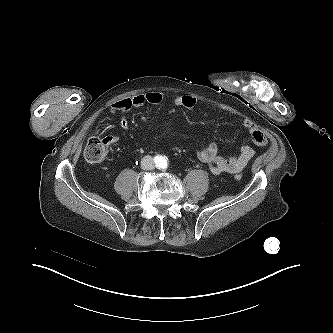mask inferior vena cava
<instances>
[{"label": "inferior vena cava", "mask_w": 333, "mask_h": 333, "mask_svg": "<svg viewBox=\"0 0 333 333\" xmlns=\"http://www.w3.org/2000/svg\"><path fill=\"white\" fill-rule=\"evenodd\" d=\"M142 165L145 169L153 168V161L151 156H145L142 161Z\"/></svg>", "instance_id": "obj_1"}]
</instances>
